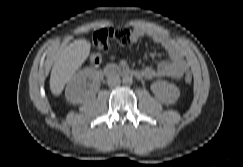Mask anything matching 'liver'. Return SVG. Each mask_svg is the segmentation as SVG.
Returning a JSON list of instances; mask_svg holds the SVG:
<instances>
[{
    "label": "liver",
    "instance_id": "obj_1",
    "mask_svg": "<svg viewBox=\"0 0 243 167\" xmlns=\"http://www.w3.org/2000/svg\"><path fill=\"white\" fill-rule=\"evenodd\" d=\"M91 44L85 39H78L63 49L55 61L50 75V90L53 95L61 94L65 87L86 61Z\"/></svg>",
    "mask_w": 243,
    "mask_h": 167
}]
</instances>
